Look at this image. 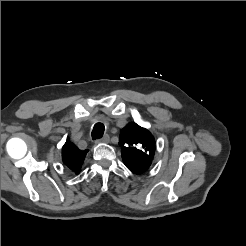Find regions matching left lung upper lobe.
Returning <instances> with one entry per match:
<instances>
[{
	"instance_id": "5c2ea615",
	"label": "left lung upper lobe",
	"mask_w": 246,
	"mask_h": 246,
	"mask_svg": "<svg viewBox=\"0 0 246 246\" xmlns=\"http://www.w3.org/2000/svg\"><path fill=\"white\" fill-rule=\"evenodd\" d=\"M119 145L126 167L136 174H142L151 165L155 153L152 134L136 123H129L120 132Z\"/></svg>"
}]
</instances>
